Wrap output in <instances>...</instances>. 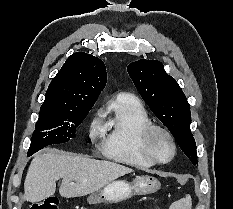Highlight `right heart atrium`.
Instances as JSON below:
<instances>
[{
    "instance_id": "1",
    "label": "right heart atrium",
    "mask_w": 233,
    "mask_h": 209,
    "mask_svg": "<svg viewBox=\"0 0 233 209\" xmlns=\"http://www.w3.org/2000/svg\"><path fill=\"white\" fill-rule=\"evenodd\" d=\"M101 134H102V127L99 124V122L98 121L92 122L91 127H90V137L92 139H95L96 137L100 136Z\"/></svg>"
}]
</instances>
